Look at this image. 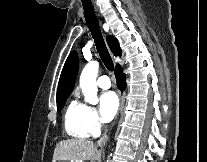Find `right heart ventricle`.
<instances>
[{
    "instance_id": "1",
    "label": "right heart ventricle",
    "mask_w": 207,
    "mask_h": 162,
    "mask_svg": "<svg viewBox=\"0 0 207 162\" xmlns=\"http://www.w3.org/2000/svg\"><path fill=\"white\" fill-rule=\"evenodd\" d=\"M87 106L76 99L69 102L64 113V128L67 134L78 139L90 137L86 122Z\"/></svg>"
}]
</instances>
